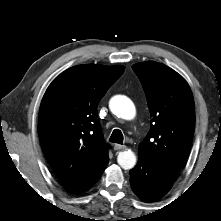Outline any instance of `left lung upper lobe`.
<instances>
[{
	"mask_svg": "<svg viewBox=\"0 0 221 221\" xmlns=\"http://www.w3.org/2000/svg\"><path fill=\"white\" fill-rule=\"evenodd\" d=\"M132 68L142 83L152 118L138 155L178 173L189 153L195 129L191 89L181 75L164 64L147 61Z\"/></svg>",
	"mask_w": 221,
	"mask_h": 221,
	"instance_id": "5c2ea615",
	"label": "left lung upper lobe"
}]
</instances>
